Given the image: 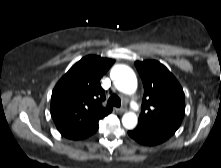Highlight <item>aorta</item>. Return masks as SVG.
<instances>
[{"mask_svg": "<svg viewBox=\"0 0 221 168\" xmlns=\"http://www.w3.org/2000/svg\"><path fill=\"white\" fill-rule=\"evenodd\" d=\"M111 79L115 87L123 93L133 94L137 89V77L127 65L119 64L113 67ZM138 123L137 115L133 112L125 113L122 124L126 129H133Z\"/></svg>", "mask_w": 221, "mask_h": 168, "instance_id": "762f6f07", "label": "aorta"}]
</instances>
